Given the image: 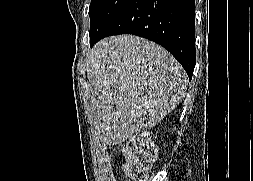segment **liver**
Segmentation results:
<instances>
[{"instance_id":"obj_1","label":"liver","mask_w":253,"mask_h":181,"mask_svg":"<svg viewBox=\"0 0 253 181\" xmlns=\"http://www.w3.org/2000/svg\"><path fill=\"white\" fill-rule=\"evenodd\" d=\"M85 63L93 122L112 145L155 127L177 106L187 83L168 51L132 35L100 41Z\"/></svg>"}]
</instances>
